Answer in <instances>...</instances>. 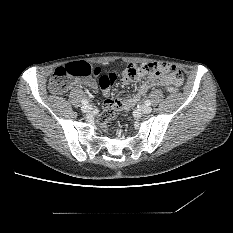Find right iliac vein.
Returning a JSON list of instances; mask_svg holds the SVG:
<instances>
[{
  "instance_id": "right-iliac-vein-1",
  "label": "right iliac vein",
  "mask_w": 233,
  "mask_h": 233,
  "mask_svg": "<svg viewBox=\"0 0 233 233\" xmlns=\"http://www.w3.org/2000/svg\"><path fill=\"white\" fill-rule=\"evenodd\" d=\"M81 110H82L83 113H90V112H92L93 107L91 105H87V106H83L81 108Z\"/></svg>"
}]
</instances>
